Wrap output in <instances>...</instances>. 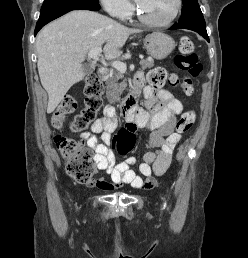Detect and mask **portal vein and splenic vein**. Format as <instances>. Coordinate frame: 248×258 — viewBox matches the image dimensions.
Segmentation results:
<instances>
[{
    "mask_svg": "<svg viewBox=\"0 0 248 258\" xmlns=\"http://www.w3.org/2000/svg\"><path fill=\"white\" fill-rule=\"evenodd\" d=\"M101 49L100 48H95V49H92L89 53H88V57L94 59V60H97L99 61V57H100V54H101ZM142 58V57H140ZM112 67H114L115 69H117L118 71L120 72H125L126 69H127V65L126 63L124 62H121V61H113L111 63Z\"/></svg>",
    "mask_w": 248,
    "mask_h": 258,
    "instance_id": "portal-vein-and-splenic-vein-1",
    "label": "portal vein and splenic vein"
}]
</instances>
